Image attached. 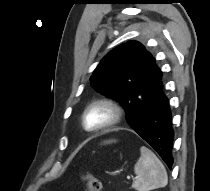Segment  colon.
I'll list each match as a JSON object with an SVG mask.
<instances>
[{
	"label": "colon",
	"mask_w": 210,
	"mask_h": 191,
	"mask_svg": "<svg viewBox=\"0 0 210 191\" xmlns=\"http://www.w3.org/2000/svg\"><path fill=\"white\" fill-rule=\"evenodd\" d=\"M86 191H100L101 183L100 180L91 173H85L81 177Z\"/></svg>",
	"instance_id": "1"
}]
</instances>
